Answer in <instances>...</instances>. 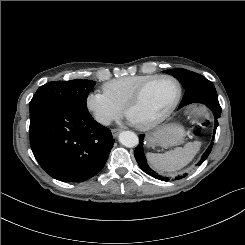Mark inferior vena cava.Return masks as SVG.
I'll return each mask as SVG.
<instances>
[{
    "label": "inferior vena cava",
    "instance_id": "obj_1",
    "mask_svg": "<svg viewBox=\"0 0 245 245\" xmlns=\"http://www.w3.org/2000/svg\"><path fill=\"white\" fill-rule=\"evenodd\" d=\"M101 123L104 125H110L111 119L110 118H105L101 120Z\"/></svg>",
    "mask_w": 245,
    "mask_h": 245
}]
</instances>
